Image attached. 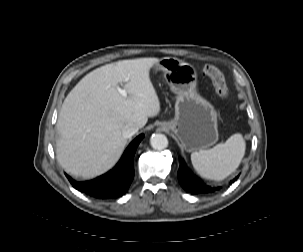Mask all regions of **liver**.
Listing matches in <instances>:
<instances>
[{
    "label": "liver",
    "mask_w": 303,
    "mask_h": 252,
    "mask_svg": "<svg viewBox=\"0 0 303 252\" xmlns=\"http://www.w3.org/2000/svg\"><path fill=\"white\" fill-rule=\"evenodd\" d=\"M158 61L138 58L106 64L70 91L56 124V157L67 173L89 179L108 171L126 146L123 127L133 123L142 128L148 117L159 114L160 102L149 75ZM118 84H123L126 97Z\"/></svg>",
    "instance_id": "6515ba94"
}]
</instances>
